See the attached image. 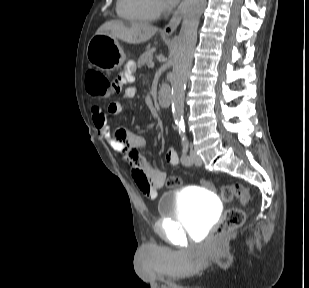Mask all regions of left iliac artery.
<instances>
[{
  "mask_svg": "<svg viewBox=\"0 0 309 288\" xmlns=\"http://www.w3.org/2000/svg\"><path fill=\"white\" fill-rule=\"evenodd\" d=\"M188 149H189V141L187 140V138H183L182 139L181 162L184 165H190L191 164V158L187 154Z\"/></svg>",
  "mask_w": 309,
  "mask_h": 288,
  "instance_id": "44dca946",
  "label": "left iliac artery"
}]
</instances>
